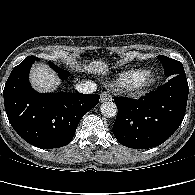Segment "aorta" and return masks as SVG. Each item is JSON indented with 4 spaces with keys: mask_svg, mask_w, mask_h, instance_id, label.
Instances as JSON below:
<instances>
[{
    "mask_svg": "<svg viewBox=\"0 0 195 195\" xmlns=\"http://www.w3.org/2000/svg\"><path fill=\"white\" fill-rule=\"evenodd\" d=\"M100 110L103 116L112 118L117 114V106L114 102L105 101L101 104Z\"/></svg>",
    "mask_w": 195,
    "mask_h": 195,
    "instance_id": "1",
    "label": "aorta"
}]
</instances>
